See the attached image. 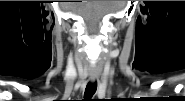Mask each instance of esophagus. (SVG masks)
Segmentation results:
<instances>
[{"label": "esophagus", "mask_w": 185, "mask_h": 101, "mask_svg": "<svg viewBox=\"0 0 185 101\" xmlns=\"http://www.w3.org/2000/svg\"><path fill=\"white\" fill-rule=\"evenodd\" d=\"M91 81H92V82H95V81H96V78H94V77L91 78Z\"/></svg>", "instance_id": "obj_1"}]
</instances>
